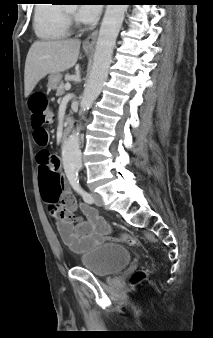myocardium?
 I'll return each instance as SVG.
<instances>
[{
    "label": "myocardium",
    "instance_id": "myocardium-1",
    "mask_svg": "<svg viewBox=\"0 0 213 338\" xmlns=\"http://www.w3.org/2000/svg\"><path fill=\"white\" fill-rule=\"evenodd\" d=\"M64 15H65L66 23L72 21L73 16L67 9H64Z\"/></svg>",
    "mask_w": 213,
    "mask_h": 338
}]
</instances>
